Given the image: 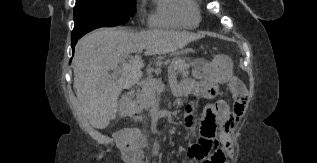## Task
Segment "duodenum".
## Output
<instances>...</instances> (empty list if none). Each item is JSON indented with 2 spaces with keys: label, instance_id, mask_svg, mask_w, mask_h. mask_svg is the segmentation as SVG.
<instances>
[{
  "label": "duodenum",
  "instance_id": "1",
  "mask_svg": "<svg viewBox=\"0 0 317 163\" xmlns=\"http://www.w3.org/2000/svg\"><path fill=\"white\" fill-rule=\"evenodd\" d=\"M131 100H132L131 94H125L122 96L120 100V112H119L121 117H125L127 112L129 111Z\"/></svg>",
  "mask_w": 317,
  "mask_h": 163
}]
</instances>
